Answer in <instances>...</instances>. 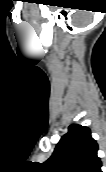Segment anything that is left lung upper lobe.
Masks as SVG:
<instances>
[{
    "label": "left lung upper lobe",
    "mask_w": 106,
    "mask_h": 172,
    "mask_svg": "<svg viewBox=\"0 0 106 172\" xmlns=\"http://www.w3.org/2000/svg\"><path fill=\"white\" fill-rule=\"evenodd\" d=\"M97 150L98 145L90 129L72 124L42 166L46 172H101Z\"/></svg>",
    "instance_id": "1"
}]
</instances>
